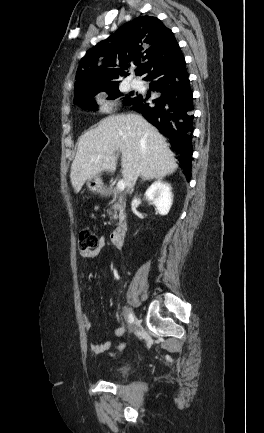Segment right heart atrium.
Wrapping results in <instances>:
<instances>
[{"label":"right heart atrium","instance_id":"obj_1","mask_svg":"<svg viewBox=\"0 0 264 433\" xmlns=\"http://www.w3.org/2000/svg\"><path fill=\"white\" fill-rule=\"evenodd\" d=\"M98 109L102 113H109L113 110V105L109 100L101 98L98 100Z\"/></svg>","mask_w":264,"mask_h":433}]
</instances>
